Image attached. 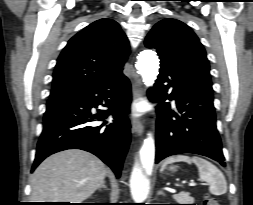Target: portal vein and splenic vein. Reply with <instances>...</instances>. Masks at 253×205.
Wrapping results in <instances>:
<instances>
[{
	"instance_id": "portal-vein-and-splenic-vein-1",
	"label": "portal vein and splenic vein",
	"mask_w": 253,
	"mask_h": 205,
	"mask_svg": "<svg viewBox=\"0 0 253 205\" xmlns=\"http://www.w3.org/2000/svg\"><path fill=\"white\" fill-rule=\"evenodd\" d=\"M197 185V183H195V182H190L189 183V186H196Z\"/></svg>"
}]
</instances>
